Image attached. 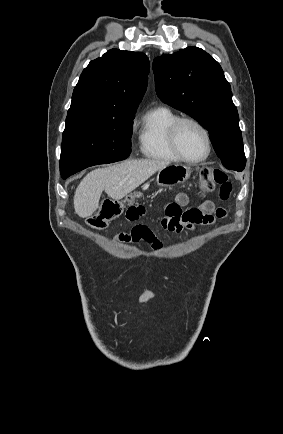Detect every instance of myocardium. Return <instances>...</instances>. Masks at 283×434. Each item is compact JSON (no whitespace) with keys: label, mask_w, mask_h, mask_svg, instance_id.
<instances>
[{"label":"myocardium","mask_w":283,"mask_h":434,"mask_svg":"<svg viewBox=\"0 0 283 434\" xmlns=\"http://www.w3.org/2000/svg\"><path fill=\"white\" fill-rule=\"evenodd\" d=\"M184 123H191V124L195 125L196 127H198L200 129V131L204 135L205 142H206V152L203 156H201L199 158L192 159V158L186 157L181 152V150L179 148V144H178V131H179L180 126ZM168 139H169L170 147H171L172 151L174 152V154L181 161L186 162V163L196 164V163L203 162L210 156L211 151H212V143H211L209 131L200 121H198L197 119L192 118V117H179V118H177L169 128Z\"/></svg>","instance_id":"obj_1"}]
</instances>
